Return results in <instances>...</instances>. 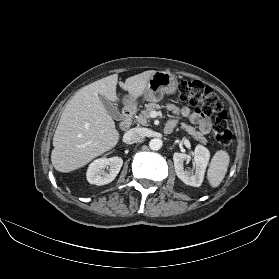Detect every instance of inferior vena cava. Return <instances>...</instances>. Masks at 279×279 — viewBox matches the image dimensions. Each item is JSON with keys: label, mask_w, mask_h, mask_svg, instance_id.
<instances>
[{"label": "inferior vena cava", "mask_w": 279, "mask_h": 279, "mask_svg": "<svg viewBox=\"0 0 279 279\" xmlns=\"http://www.w3.org/2000/svg\"><path fill=\"white\" fill-rule=\"evenodd\" d=\"M144 138L143 132L138 128H132L124 134V141L126 143H136Z\"/></svg>", "instance_id": "obj_1"}]
</instances>
